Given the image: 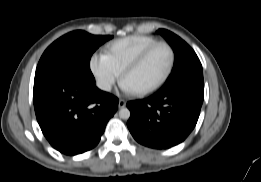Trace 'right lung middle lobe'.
Segmentation results:
<instances>
[{"mask_svg":"<svg viewBox=\"0 0 261 182\" xmlns=\"http://www.w3.org/2000/svg\"><path fill=\"white\" fill-rule=\"evenodd\" d=\"M113 36H95L85 31L70 32L53 42L43 53L38 63L35 78L57 71L68 70L80 81L94 85L90 70L93 52Z\"/></svg>","mask_w":261,"mask_h":182,"instance_id":"obj_1","label":"right lung middle lobe"}]
</instances>
